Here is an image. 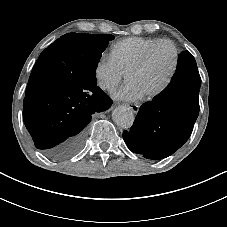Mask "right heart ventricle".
<instances>
[{
    "mask_svg": "<svg viewBox=\"0 0 227 227\" xmlns=\"http://www.w3.org/2000/svg\"><path fill=\"white\" fill-rule=\"evenodd\" d=\"M158 39L127 37L116 42L111 49V58L116 65L127 73L145 50Z\"/></svg>",
    "mask_w": 227,
    "mask_h": 227,
    "instance_id": "obj_1",
    "label": "right heart ventricle"
}]
</instances>
